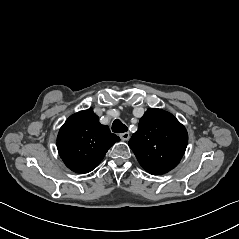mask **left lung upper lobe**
Returning <instances> with one entry per match:
<instances>
[{"label": "left lung upper lobe", "mask_w": 239, "mask_h": 239, "mask_svg": "<svg viewBox=\"0 0 239 239\" xmlns=\"http://www.w3.org/2000/svg\"><path fill=\"white\" fill-rule=\"evenodd\" d=\"M188 143L185 127L171 113L148 109L129 146L140 165L150 174H164L177 166Z\"/></svg>", "instance_id": "left-lung-upper-lobe-1"}]
</instances>
